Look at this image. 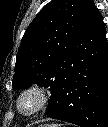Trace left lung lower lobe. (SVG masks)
<instances>
[{
    "mask_svg": "<svg viewBox=\"0 0 108 127\" xmlns=\"http://www.w3.org/2000/svg\"><path fill=\"white\" fill-rule=\"evenodd\" d=\"M46 114L81 127H108V43L102 15L93 0Z\"/></svg>",
    "mask_w": 108,
    "mask_h": 127,
    "instance_id": "obj_1",
    "label": "left lung lower lobe"
}]
</instances>
